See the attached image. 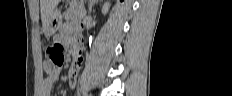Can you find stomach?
<instances>
[{"label": "stomach", "mask_w": 232, "mask_h": 96, "mask_svg": "<svg viewBox=\"0 0 232 96\" xmlns=\"http://www.w3.org/2000/svg\"><path fill=\"white\" fill-rule=\"evenodd\" d=\"M62 16L58 10H54L47 22L43 26V31L47 36H52L60 27Z\"/></svg>", "instance_id": "obj_1"}]
</instances>
